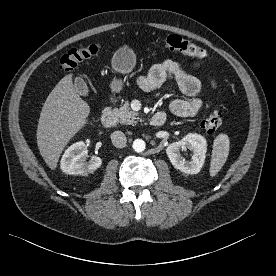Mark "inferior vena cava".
I'll return each mask as SVG.
<instances>
[{
    "label": "inferior vena cava",
    "instance_id": "602c4592",
    "mask_svg": "<svg viewBox=\"0 0 276 276\" xmlns=\"http://www.w3.org/2000/svg\"><path fill=\"white\" fill-rule=\"evenodd\" d=\"M111 140L115 147L124 148L127 143L126 136L122 131H115L111 134Z\"/></svg>",
    "mask_w": 276,
    "mask_h": 276
}]
</instances>
